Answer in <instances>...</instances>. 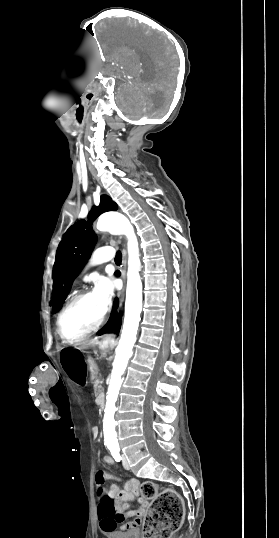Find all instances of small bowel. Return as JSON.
<instances>
[{
    "label": "small bowel",
    "mask_w": 279,
    "mask_h": 538,
    "mask_svg": "<svg viewBox=\"0 0 279 538\" xmlns=\"http://www.w3.org/2000/svg\"><path fill=\"white\" fill-rule=\"evenodd\" d=\"M96 434V431H94ZM103 463L106 465H114L115 461L110 456L103 458ZM108 479L113 481H120L119 478L108 475ZM139 481L135 478L129 479L123 489H120L118 485L112 484L109 488V495L115 501L116 513L113 517L101 518L100 526L104 532H110L116 529L120 525L122 531L136 530L142 522V517L145 513L147 503L144 498H139V506L134 509H128V501L133 500L139 495ZM133 518L131 521L126 522L127 519Z\"/></svg>",
    "instance_id": "obj_1"
}]
</instances>
